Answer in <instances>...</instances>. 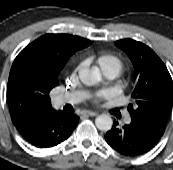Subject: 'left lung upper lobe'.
<instances>
[{
    "mask_svg": "<svg viewBox=\"0 0 173 170\" xmlns=\"http://www.w3.org/2000/svg\"><path fill=\"white\" fill-rule=\"evenodd\" d=\"M115 45L127 53L135 69L136 87L128 106L131 118L164 131L173 105V83L166 66L141 42L123 39Z\"/></svg>",
    "mask_w": 173,
    "mask_h": 170,
    "instance_id": "1",
    "label": "left lung upper lobe"
}]
</instances>
